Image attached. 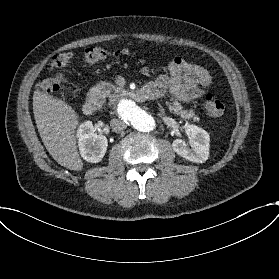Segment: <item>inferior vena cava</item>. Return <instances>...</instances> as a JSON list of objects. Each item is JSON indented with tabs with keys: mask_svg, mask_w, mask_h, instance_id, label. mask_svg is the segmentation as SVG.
<instances>
[{
	"mask_svg": "<svg viewBox=\"0 0 279 279\" xmlns=\"http://www.w3.org/2000/svg\"><path fill=\"white\" fill-rule=\"evenodd\" d=\"M110 126L114 132H122L127 127L125 122L121 119H111Z\"/></svg>",
	"mask_w": 279,
	"mask_h": 279,
	"instance_id": "1",
	"label": "inferior vena cava"
}]
</instances>
